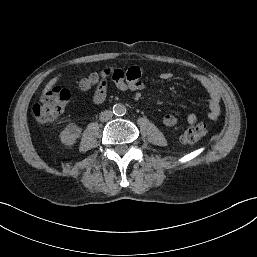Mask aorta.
<instances>
[{"label":"aorta","instance_id":"obj_1","mask_svg":"<svg viewBox=\"0 0 257 257\" xmlns=\"http://www.w3.org/2000/svg\"><path fill=\"white\" fill-rule=\"evenodd\" d=\"M113 113L118 116L125 115L126 107L121 103H117L113 106Z\"/></svg>","mask_w":257,"mask_h":257}]
</instances>
